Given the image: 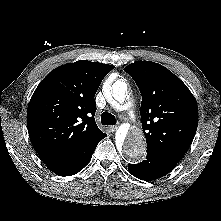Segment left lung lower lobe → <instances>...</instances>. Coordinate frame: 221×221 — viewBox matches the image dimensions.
Wrapping results in <instances>:
<instances>
[{"instance_id":"obj_1","label":"left lung lower lobe","mask_w":221,"mask_h":221,"mask_svg":"<svg viewBox=\"0 0 221 221\" xmlns=\"http://www.w3.org/2000/svg\"><path fill=\"white\" fill-rule=\"evenodd\" d=\"M177 163L168 157L147 151L146 159L135 165L129 164L128 170L141 180L151 181L169 173Z\"/></svg>"}]
</instances>
